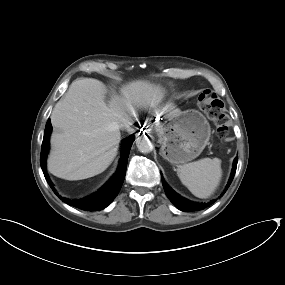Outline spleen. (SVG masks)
Segmentation results:
<instances>
[{
  "label": "spleen",
  "mask_w": 285,
  "mask_h": 285,
  "mask_svg": "<svg viewBox=\"0 0 285 285\" xmlns=\"http://www.w3.org/2000/svg\"><path fill=\"white\" fill-rule=\"evenodd\" d=\"M177 174L182 184L198 198H208L220 184L222 178L221 160L203 158L179 165Z\"/></svg>",
  "instance_id": "obj_1"
}]
</instances>
